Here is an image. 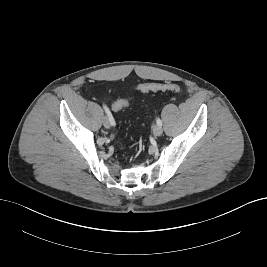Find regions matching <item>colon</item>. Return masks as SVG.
Here are the masks:
<instances>
[{
	"label": "colon",
	"instance_id": "obj_1",
	"mask_svg": "<svg viewBox=\"0 0 267 267\" xmlns=\"http://www.w3.org/2000/svg\"><path fill=\"white\" fill-rule=\"evenodd\" d=\"M137 89L142 92H155V91H179L180 87L173 83H143L137 85ZM114 111L123 110L129 107V103L124 100H119L111 105Z\"/></svg>",
	"mask_w": 267,
	"mask_h": 267
}]
</instances>
